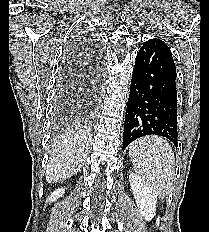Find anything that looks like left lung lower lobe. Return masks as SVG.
<instances>
[{"instance_id":"obj_1","label":"left lung lower lobe","mask_w":209,"mask_h":232,"mask_svg":"<svg viewBox=\"0 0 209 232\" xmlns=\"http://www.w3.org/2000/svg\"><path fill=\"white\" fill-rule=\"evenodd\" d=\"M175 80V63L166 43L158 38L144 42L133 68L123 150L146 135L163 136L177 146Z\"/></svg>"}]
</instances>
